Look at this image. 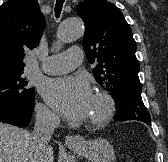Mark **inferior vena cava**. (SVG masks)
<instances>
[{"label": "inferior vena cava", "mask_w": 168, "mask_h": 162, "mask_svg": "<svg viewBox=\"0 0 168 162\" xmlns=\"http://www.w3.org/2000/svg\"><path fill=\"white\" fill-rule=\"evenodd\" d=\"M59 122V118L51 111L47 109L36 110L35 126L31 133V162H39L42 152L49 148V141Z\"/></svg>", "instance_id": "obj_1"}]
</instances>
